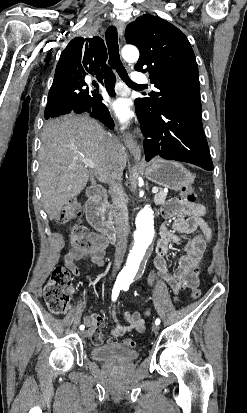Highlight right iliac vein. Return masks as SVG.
Instances as JSON below:
<instances>
[{"label":"right iliac vein","mask_w":247,"mask_h":413,"mask_svg":"<svg viewBox=\"0 0 247 413\" xmlns=\"http://www.w3.org/2000/svg\"><path fill=\"white\" fill-rule=\"evenodd\" d=\"M87 334H88V331H87V330H84V331H81V332H80L81 338H85V337L87 336Z\"/></svg>","instance_id":"1"}]
</instances>
